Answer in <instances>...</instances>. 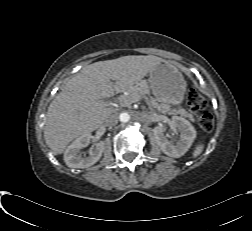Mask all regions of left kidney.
<instances>
[{
    "label": "left kidney",
    "mask_w": 252,
    "mask_h": 231,
    "mask_svg": "<svg viewBox=\"0 0 252 231\" xmlns=\"http://www.w3.org/2000/svg\"><path fill=\"white\" fill-rule=\"evenodd\" d=\"M172 125L180 132V138L174 145L170 143L160 126L154 128V136L161 150L168 156L178 158L183 156L191 147L196 138V130L186 119L178 116L172 117Z\"/></svg>",
    "instance_id": "1"
}]
</instances>
